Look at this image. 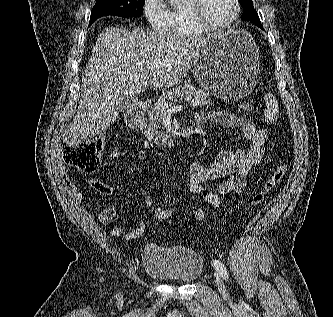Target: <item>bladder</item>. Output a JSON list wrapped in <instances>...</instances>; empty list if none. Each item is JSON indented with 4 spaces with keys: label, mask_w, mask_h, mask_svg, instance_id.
I'll return each instance as SVG.
<instances>
[{
    "label": "bladder",
    "mask_w": 333,
    "mask_h": 317,
    "mask_svg": "<svg viewBox=\"0 0 333 317\" xmlns=\"http://www.w3.org/2000/svg\"><path fill=\"white\" fill-rule=\"evenodd\" d=\"M147 275L176 284H190L203 272L202 256L191 248L148 244L142 252Z\"/></svg>",
    "instance_id": "1"
}]
</instances>
